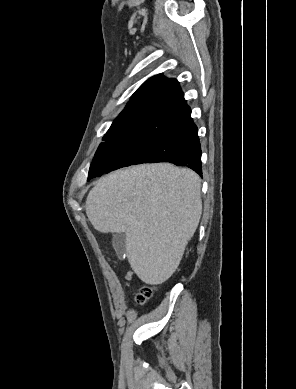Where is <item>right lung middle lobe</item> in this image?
<instances>
[{"label":"right lung middle lobe","mask_w":296,"mask_h":389,"mask_svg":"<svg viewBox=\"0 0 296 389\" xmlns=\"http://www.w3.org/2000/svg\"><path fill=\"white\" fill-rule=\"evenodd\" d=\"M178 122L156 115L115 120L98 147L90 170L106 172L141 164L155 143Z\"/></svg>","instance_id":"dd1d6c3e"}]
</instances>
